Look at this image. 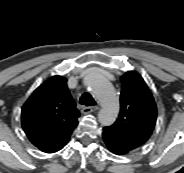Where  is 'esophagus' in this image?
<instances>
[{
    "label": "esophagus",
    "instance_id": "34e87169",
    "mask_svg": "<svg viewBox=\"0 0 184 173\" xmlns=\"http://www.w3.org/2000/svg\"><path fill=\"white\" fill-rule=\"evenodd\" d=\"M98 110V106H84L82 109H81V112L83 114H89V113H92V112H95Z\"/></svg>",
    "mask_w": 184,
    "mask_h": 173
}]
</instances>
